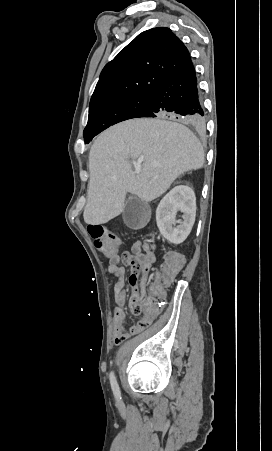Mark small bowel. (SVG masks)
<instances>
[{
    "mask_svg": "<svg viewBox=\"0 0 272 451\" xmlns=\"http://www.w3.org/2000/svg\"><path fill=\"white\" fill-rule=\"evenodd\" d=\"M130 252H138L139 256H144L146 261H151L152 266L156 262V255L148 242H136L131 246ZM152 268V267H151ZM107 271L110 275H113L116 278V283L113 287V296H114V319L113 326L115 331L123 332L124 327V305L126 300V293L124 290V286L126 284V272L124 274H114L112 270L109 269V264L107 267ZM150 270H148L147 274H130L128 278V284L131 288V299H130V307L132 308V304L134 300H137V295H139L138 285L139 280L141 285H145L148 281V274ZM132 310V309H131ZM140 313H135L138 315ZM146 313H144L145 316Z\"/></svg>",
    "mask_w": 272,
    "mask_h": 451,
    "instance_id": "1",
    "label": "small bowel"
}]
</instances>
